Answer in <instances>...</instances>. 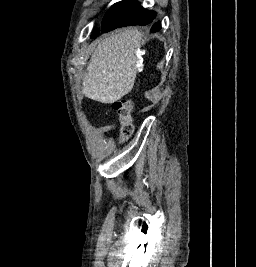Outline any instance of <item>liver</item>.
I'll return each instance as SVG.
<instances>
[{"mask_svg":"<svg viewBox=\"0 0 256 267\" xmlns=\"http://www.w3.org/2000/svg\"><path fill=\"white\" fill-rule=\"evenodd\" d=\"M140 40L137 28H125L98 44L82 80L86 98L113 104L131 92L138 72Z\"/></svg>","mask_w":256,"mask_h":267,"instance_id":"obj_1","label":"liver"}]
</instances>
